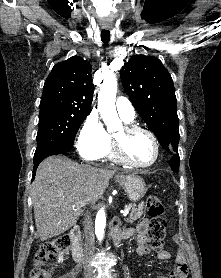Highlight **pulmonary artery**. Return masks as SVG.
<instances>
[{"mask_svg": "<svg viewBox=\"0 0 221 278\" xmlns=\"http://www.w3.org/2000/svg\"><path fill=\"white\" fill-rule=\"evenodd\" d=\"M116 109L119 114V116L125 121V122H132L135 118V109L132 105V103L125 97H119L116 100Z\"/></svg>", "mask_w": 221, "mask_h": 278, "instance_id": "e3ab8cb5", "label": "pulmonary artery"}]
</instances>
